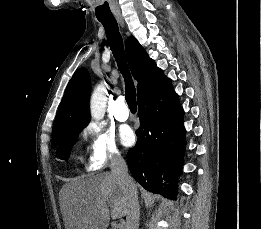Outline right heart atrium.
Listing matches in <instances>:
<instances>
[{"label": "right heart atrium", "mask_w": 261, "mask_h": 229, "mask_svg": "<svg viewBox=\"0 0 261 229\" xmlns=\"http://www.w3.org/2000/svg\"><path fill=\"white\" fill-rule=\"evenodd\" d=\"M90 137L88 168L96 171L110 163L121 160V155L112 136L96 124L90 125L86 130Z\"/></svg>", "instance_id": "d8ad5b80"}]
</instances>
